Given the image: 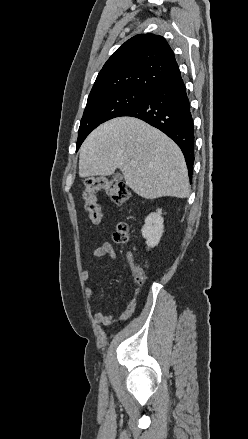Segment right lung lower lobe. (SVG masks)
I'll return each mask as SVG.
<instances>
[{"label":"right lung lower lobe","mask_w":248,"mask_h":439,"mask_svg":"<svg viewBox=\"0 0 248 439\" xmlns=\"http://www.w3.org/2000/svg\"><path fill=\"white\" fill-rule=\"evenodd\" d=\"M121 116L139 118L175 141L184 154L191 180L194 164V126L181 75L150 92Z\"/></svg>","instance_id":"right-lung-lower-lobe-1"}]
</instances>
